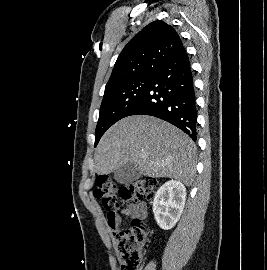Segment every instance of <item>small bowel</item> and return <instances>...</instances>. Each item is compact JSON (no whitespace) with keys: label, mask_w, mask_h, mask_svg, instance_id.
Segmentation results:
<instances>
[{"label":"small bowel","mask_w":267,"mask_h":270,"mask_svg":"<svg viewBox=\"0 0 267 270\" xmlns=\"http://www.w3.org/2000/svg\"><path fill=\"white\" fill-rule=\"evenodd\" d=\"M123 218L144 220L147 218V207L145 204H130L121 210L120 214L107 215V225L111 233L115 235L119 231Z\"/></svg>","instance_id":"small-bowel-1"}]
</instances>
